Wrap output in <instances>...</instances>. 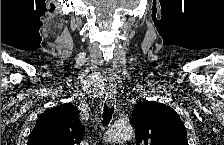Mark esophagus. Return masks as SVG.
Instances as JSON below:
<instances>
[{"instance_id": "esophagus-1", "label": "esophagus", "mask_w": 224, "mask_h": 145, "mask_svg": "<svg viewBox=\"0 0 224 145\" xmlns=\"http://www.w3.org/2000/svg\"><path fill=\"white\" fill-rule=\"evenodd\" d=\"M114 98H115L114 92L111 91L109 96H108V103H109V105L112 104Z\"/></svg>"}]
</instances>
